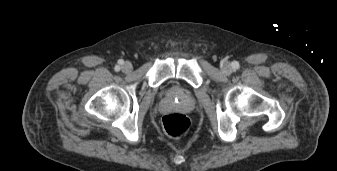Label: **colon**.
Segmentation results:
<instances>
[{
  "instance_id": "1",
  "label": "colon",
  "mask_w": 337,
  "mask_h": 171,
  "mask_svg": "<svg viewBox=\"0 0 337 171\" xmlns=\"http://www.w3.org/2000/svg\"><path fill=\"white\" fill-rule=\"evenodd\" d=\"M164 131L171 137L183 138L188 135L193 127L191 119L179 113H170L163 117Z\"/></svg>"
}]
</instances>
